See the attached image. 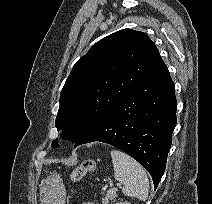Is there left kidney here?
I'll use <instances>...</instances> for the list:
<instances>
[{
    "label": "left kidney",
    "instance_id": "1",
    "mask_svg": "<svg viewBox=\"0 0 212 204\" xmlns=\"http://www.w3.org/2000/svg\"><path fill=\"white\" fill-rule=\"evenodd\" d=\"M116 204H130L128 202H120V203H116Z\"/></svg>",
    "mask_w": 212,
    "mask_h": 204
}]
</instances>
